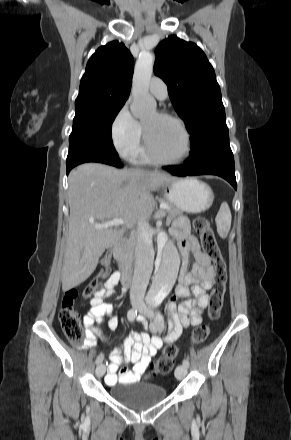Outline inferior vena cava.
<instances>
[{
  "label": "inferior vena cava",
  "instance_id": "1",
  "mask_svg": "<svg viewBox=\"0 0 291 440\" xmlns=\"http://www.w3.org/2000/svg\"><path fill=\"white\" fill-rule=\"evenodd\" d=\"M153 269L152 238L146 221L138 223L135 246V267L130 300L132 303L143 304L144 295Z\"/></svg>",
  "mask_w": 291,
  "mask_h": 440
}]
</instances>
